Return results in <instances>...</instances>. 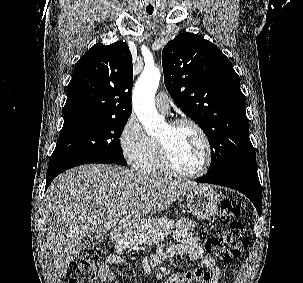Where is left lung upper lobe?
Returning <instances> with one entry per match:
<instances>
[{
  "label": "left lung upper lobe",
  "mask_w": 303,
  "mask_h": 283,
  "mask_svg": "<svg viewBox=\"0 0 303 283\" xmlns=\"http://www.w3.org/2000/svg\"><path fill=\"white\" fill-rule=\"evenodd\" d=\"M162 65L170 96L209 138L207 175L256 160L240 79L220 49L199 35L182 33L164 46Z\"/></svg>",
  "instance_id": "5c2ea615"
}]
</instances>
